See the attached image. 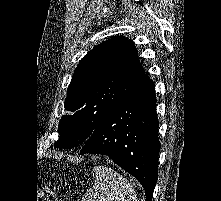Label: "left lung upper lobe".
<instances>
[{
    "instance_id": "obj_1",
    "label": "left lung upper lobe",
    "mask_w": 221,
    "mask_h": 201,
    "mask_svg": "<svg viewBox=\"0 0 221 201\" xmlns=\"http://www.w3.org/2000/svg\"><path fill=\"white\" fill-rule=\"evenodd\" d=\"M148 80L130 40L112 37L94 47L80 60L68 86L67 114L59 122L54 147L84 144L110 110Z\"/></svg>"
}]
</instances>
